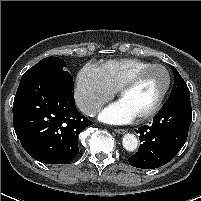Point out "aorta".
Wrapping results in <instances>:
<instances>
[{"mask_svg": "<svg viewBox=\"0 0 201 201\" xmlns=\"http://www.w3.org/2000/svg\"><path fill=\"white\" fill-rule=\"evenodd\" d=\"M122 144L127 151L132 152L138 147V140L134 134L127 133L123 136Z\"/></svg>", "mask_w": 201, "mask_h": 201, "instance_id": "762f6f07", "label": "aorta"}]
</instances>
